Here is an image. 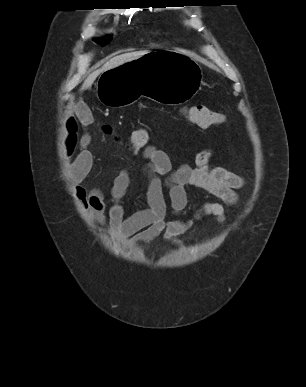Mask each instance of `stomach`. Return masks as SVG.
I'll return each instance as SVG.
<instances>
[{
    "instance_id": "obj_1",
    "label": "stomach",
    "mask_w": 306,
    "mask_h": 387,
    "mask_svg": "<svg viewBox=\"0 0 306 387\" xmlns=\"http://www.w3.org/2000/svg\"><path fill=\"white\" fill-rule=\"evenodd\" d=\"M141 55L110 70H102L97 85L100 101L113 108L129 106L140 95L157 104H189L202 83V69L189 56L165 46H152Z\"/></svg>"
}]
</instances>
